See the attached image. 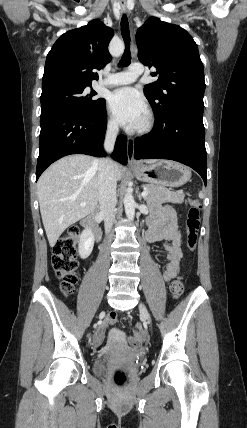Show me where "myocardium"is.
<instances>
[{"instance_id":"f54148a6","label":"myocardium","mask_w":247,"mask_h":428,"mask_svg":"<svg viewBox=\"0 0 247 428\" xmlns=\"http://www.w3.org/2000/svg\"><path fill=\"white\" fill-rule=\"evenodd\" d=\"M153 124H154V120L152 115H148L144 124L140 127L139 131L141 133H147L152 129Z\"/></svg>"}]
</instances>
